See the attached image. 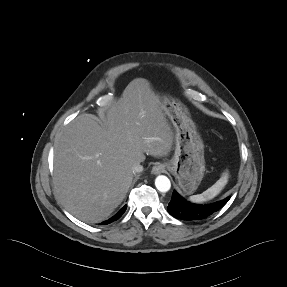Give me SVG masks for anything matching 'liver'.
Masks as SVG:
<instances>
[{
	"label": "liver",
	"mask_w": 287,
	"mask_h": 287,
	"mask_svg": "<svg viewBox=\"0 0 287 287\" xmlns=\"http://www.w3.org/2000/svg\"><path fill=\"white\" fill-rule=\"evenodd\" d=\"M174 133L159 97L142 78L131 81L103 124L91 114L71 121L54 149V188L78 219L98 223L121 204L132 183V166L145 153L167 156Z\"/></svg>",
	"instance_id": "6515ba94"
}]
</instances>
